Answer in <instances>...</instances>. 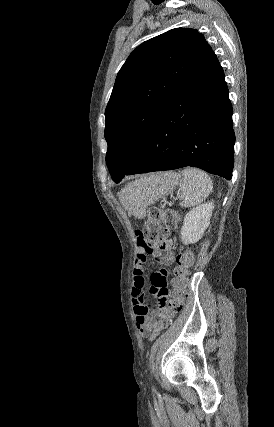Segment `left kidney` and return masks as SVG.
Returning <instances> with one entry per match:
<instances>
[{
  "label": "left kidney",
  "mask_w": 274,
  "mask_h": 427,
  "mask_svg": "<svg viewBox=\"0 0 274 427\" xmlns=\"http://www.w3.org/2000/svg\"><path fill=\"white\" fill-rule=\"evenodd\" d=\"M214 210L213 202L208 204H200L197 208H193L191 212L184 217V223L181 227V239L185 245L195 243L201 239L205 229L210 223V217Z\"/></svg>",
  "instance_id": "left-kidney-1"
}]
</instances>
